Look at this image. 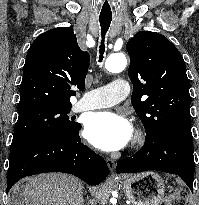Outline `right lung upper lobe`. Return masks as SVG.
I'll return each instance as SVG.
<instances>
[{"label": "right lung upper lobe", "instance_id": "1", "mask_svg": "<svg viewBox=\"0 0 199 205\" xmlns=\"http://www.w3.org/2000/svg\"><path fill=\"white\" fill-rule=\"evenodd\" d=\"M90 56L77 43L72 27H59L38 36L30 46L20 85L18 111L72 105L71 90L85 88Z\"/></svg>", "mask_w": 199, "mask_h": 205}]
</instances>
